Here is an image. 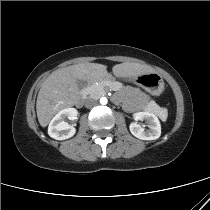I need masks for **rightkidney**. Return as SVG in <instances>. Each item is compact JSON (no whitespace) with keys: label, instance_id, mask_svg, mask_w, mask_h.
I'll list each match as a JSON object with an SVG mask.
<instances>
[{"label":"right kidney","instance_id":"obj_1","mask_svg":"<svg viewBox=\"0 0 210 210\" xmlns=\"http://www.w3.org/2000/svg\"><path fill=\"white\" fill-rule=\"evenodd\" d=\"M78 111L75 108H66L56 114L48 126V134L56 140H65L76 133V129L69 125L65 119H77Z\"/></svg>","mask_w":210,"mask_h":210}]
</instances>
